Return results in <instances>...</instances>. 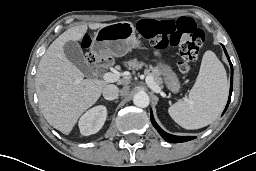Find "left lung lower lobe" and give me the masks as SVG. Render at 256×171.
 I'll return each instance as SVG.
<instances>
[{
    "instance_id": "obj_1",
    "label": "left lung lower lobe",
    "mask_w": 256,
    "mask_h": 171,
    "mask_svg": "<svg viewBox=\"0 0 256 171\" xmlns=\"http://www.w3.org/2000/svg\"><path fill=\"white\" fill-rule=\"evenodd\" d=\"M224 51H225V54H226V56L229 60L230 66H231V81H230L231 85H230L229 100H228V103L226 105V108H225L223 114L225 113L226 109L228 108V105H229V102H230V99H231L232 90H233V68H232V63L229 59V56H228L225 48H224ZM150 116H151V122H152L153 126L156 128V130L159 132V134L168 142L180 143V142H186V141H189V140H193L195 138L194 136H175V135L168 134V133L164 132L158 126V124L155 122L152 111L150 112Z\"/></svg>"
}]
</instances>
